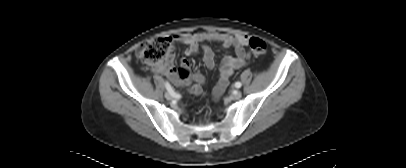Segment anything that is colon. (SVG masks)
Segmentation results:
<instances>
[{
    "instance_id": "obj_1",
    "label": "colon",
    "mask_w": 406,
    "mask_h": 168,
    "mask_svg": "<svg viewBox=\"0 0 406 168\" xmlns=\"http://www.w3.org/2000/svg\"><path fill=\"white\" fill-rule=\"evenodd\" d=\"M251 52L256 56H263L267 52V45L264 40L258 37H251L248 40ZM172 51V40L169 37H155L143 44L137 50L139 59L149 65L162 63Z\"/></svg>"
}]
</instances>
